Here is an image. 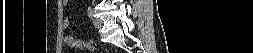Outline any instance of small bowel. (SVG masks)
Masks as SVG:
<instances>
[{
    "instance_id": "small-bowel-1",
    "label": "small bowel",
    "mask_w": 253,
    "mask_h": 53,
    "mask_svg": "<svg viewBox=\"0 0 253 53\" xmlns=\"http://www.w3.org/2000/svg\"><path fill=\"white\" fill-rule=\"evenodd\" d=\"M68 26H69V21H68V19H65L63 21V28L67 29ZM64 43L69 48L78 47V40L71 35H66L64 37Z\"/></svg>"
}]
</instances>
